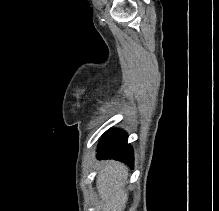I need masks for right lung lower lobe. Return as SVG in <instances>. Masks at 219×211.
<instances>
[{
    "label": "right lung lower lobe",
    "mask_w": 219,
    "mask_h": 211,
    "mask_svg": "<svg viewBox=\"0 0 219 211\" xmlns=\"http://www.w3.org/2000/svg\"><path fill=\"white\" fill-rule=\"evenodd\" d=\"M97 153L99 159L119 160L133 168V150L127 143V134L121 130L114 129L104 134Z\"/></svg>",
    "instance_id": "obj_1"
}]
</instances>
